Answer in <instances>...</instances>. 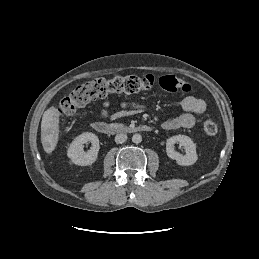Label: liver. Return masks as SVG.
<instances>
[{
	"mask_svg": "<svg viewBox=\"0 0 259 259\" xmlns=\"http://www.w3.org/2000/svg\"><path fill=\"white\" fill-rule=\"evenodd\" d=\"M59 117L55 106L47 109L41 121V143L44 151L51 154L57 146L59 140Z\"/></svg>",
	"mask_w": 259,
	"mask_h": 259,
	"instance_id": "liver-1",
	"label": "liver"
}]
</instances>
